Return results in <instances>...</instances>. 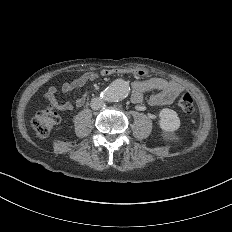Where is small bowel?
Segmentation results:
<instances>
[{
  "instance_id": "1",
  "label": "small bowel",
  "mask_w": 232,
  "mask_h": 232,
  "mask_svg": "<svg viewBox=\"0 0 232 232\" xmlns=\"http://www.w3.org/2000/svg\"><path fill=\"white\" fill-rule=\"evenodd\" d=\"M144 72L139 69L133 68H117V69H104L100 71V76H132L138 78L142 76ZM98 77L95 72H90L85 75L82 79L66 82L62 85V90L65 93H69L76 88L89 85ZM132 88L131 101L141 102L143 100V92L148 87L160 88L162 91L154 94L151 97L152 104H161L172 101L179 93L184 89L183 85L176 81L167 82L166 80L158 77H151L142 81L137 79L130 82ZM48 95L52 101V104L59 110H74L81 107L86 98L90 95V89L87 87L83 93V96L73 101H62L57 96V89L54 86L48 88Z\"/></svg>"
}]
</instances>
